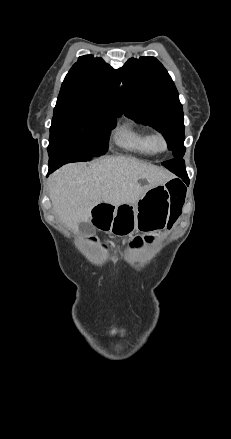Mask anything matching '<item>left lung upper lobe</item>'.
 <instances>
[{
    "label": "left lung upper lobe",
    "instance_id": "left-lung-upper-lobe-1",
    "mask_svg": "<svg viewBox=\"0 0 231 439\" xmlns=\"http://www.w3.org/2000/svg\"><path fill=\"white\" fill-rule=\"evenodd\" d=\"M116 71L122 83L125 114L161 132L175 159H182L185 152L183 110L167 70L154 57H140L129 59Z\"/></svg>",
    "mask_w": 231,
    "mask_h": 439
}]
</instances>
